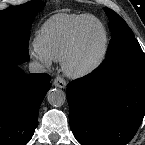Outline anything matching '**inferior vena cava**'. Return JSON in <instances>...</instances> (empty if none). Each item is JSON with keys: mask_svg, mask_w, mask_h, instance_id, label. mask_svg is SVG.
I'll return each mask as SVG.
<instances>
[{"mask_svg": "<svg viewBox=\"0 0 145 145\" xmlns=\"http://www.w3.org/2000/svg\"><path fill=\"white\" fill-rule=\"evenodd\" d=\"M29 71L31 73H44L46 72L45 67L39 62H31L29 64Z\"/></svg>", "mask_w": 145, "mask_h": 145, "instance_id": "602c4592", "label": "inferior vena cava"}]
</instances>
